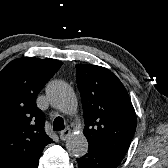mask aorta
I'll return each mask as SVG.
<instances>
[{
  "mask_svg": "<svg viewBox=\"0 0 168 168\" xmlns=\"http://www.w3.org/2000/svg\"><path fill=\"white\" fill-rule=\"evenodd\" d=\"M51 105L65 114H74L78 102L74 90L63 81H53L46 88ZM66 149L71 156L81 157L87 153L88 141L82 132L72 133L66 141Z\"/></svg>",
  "mask_w": 168,
  "mask_h": 168,
  "instance_id": "obj_1",
  "label": "aorta"
}]
</instances>
